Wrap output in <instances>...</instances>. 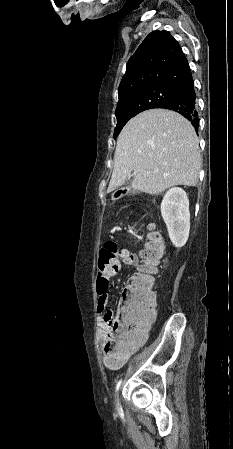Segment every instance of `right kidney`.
Returning <instances> with one entry per match:
<instances>
[{"label": "right kidney", "instance_id": "obj_1", "mask_svg": "<svg viewBox=\"0 0 233 449\" xmlns=\"http://www.w3.org/2000/svg\"><path fill=\"white\" fill-rule=\"evenodd\" d=\"M161 215L173 245L183 247L190 230L189 200L183 189L174 187L166 192L161 203Z\"/></svg>", "mask_w": 233, "mask_h": 449}]
</instances>
